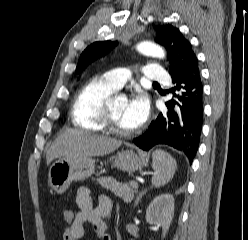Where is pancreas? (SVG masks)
<instances>
[{
    "mask_svg": "<svg viewBox=\"0 0 248 240\" xmlns=\"http://www.w3.org/2000/svg\"><path fill=\"white\" fill-rule=\"evenodd\" d=\"M97 182L105 189L110 190L125 202H131L137 189L127 183L117 182L113 177H100Z\"/></svg>",
    "mask_w": 248,
    "mask_h": 240,
    "instance_id": "cf45deb5",
    "label": "pancreas"
}]
</instances>
